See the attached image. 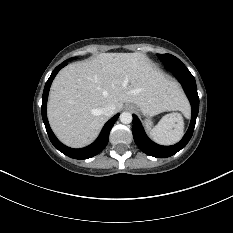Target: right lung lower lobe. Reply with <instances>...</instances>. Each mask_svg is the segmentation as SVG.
Listing matches in <instances>:
<instances>
[{
    "mask_svg": "<svg viewBox=\"0 0 233 233\" xmlns=\"http://www.w3.org/2000/svg\"><path fill=\"white\" fill-rule=\"evenodd\" d=\"M66 63H62L59 66H57L54 71L52 72L51 76L49 77L48 81L45 84L44 91H43V97H42V119L46 127V131L48 133L49 139L51 143L55 146L56 149H58L60 152L65 154L68 157L74 158V159H87L91 158L98 153H100L105 146L108 143L109 140V133L111 131V128L113 127L114 123L116 122L119 114L112 117L103 127L99 137L93 142L91 145L81 148V149H72L65 145H63L54 135L52 132L48 119L46 114V105H47V98L49 89L51 86V83L56 76V74L59 72L60 69H62L64 66H66Z\"/></svg>",
    "mask_w": 233,
    "mask_h": 233,
    "instance_id": "obj_1",
    "label": "right lung lower lobe"
}]
</instances>
